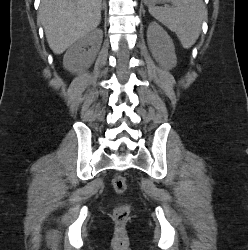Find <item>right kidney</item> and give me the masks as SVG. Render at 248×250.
I'll return each mask as SVG.
<instances>
[{"mask_svg": "<svg viewBox=\"0 0 248 250\" xmlns=\"http://www.w3.org/2000/svg\"><path fill=\"white\" fill-rule=\"evenodd\" d=\"M102 38V30L96 29L78 39L64 55V68L72 73H79L88 68L94 62L100 50ZM87 47L88 50L86 51L85 48Z\"/></svg>", "mask_w": 248, "mask_h": 250, "instance_id": "ca27d5eb", "label": "right kidney"}]
</instances>
